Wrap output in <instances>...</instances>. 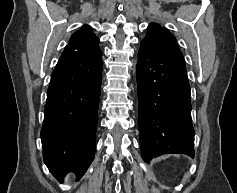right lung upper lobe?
Instances as JSON below:
<instances>
[{"label": "right lung upper lobe", "mask_w": 237, "mask_h": 193, "mask_svg": "<svg viewBox=\"0 0 237 193\" xmlns=\"http://www.w3.org/2000/svg\"><path fill=\"white\" fill-rule=\"evenodd\" d=\"M64 51L79 55H94L101 53L99 39L88 25L82 26L70 38Z\"/></svg>", "instance_id": "cb5924a9"}]
</instances>
